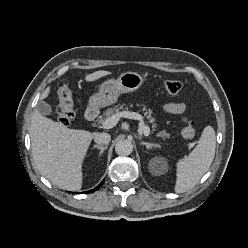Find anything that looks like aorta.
Wrapping results in <instances>:
<instances>
[{
    "label": "aorta",
    "mask_w": 248,
    "mask_h": 248,
    "mask_svg": "<svg viewBox=\"0 0 248 248\" xmlns=\"http://www.w3.org/2000/svg\"><path fill=\"white\" fill-rule=\"evenodd\" d=\"M115 151L118 155H130L133 151V144L129 140H119L115 145Z\"/></svg>",
    "instance_id": "762f6f07"
}]
</instances>
